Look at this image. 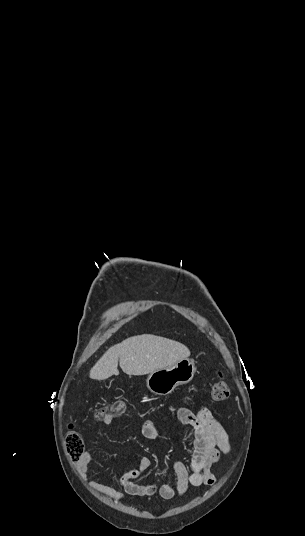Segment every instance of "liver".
I'll use <instances>...</instances> for the list:
<instances>
[{"instance_id": "liver-1", "label": "liver", "mask_w": 305, "mask_h": 536, "mask_svg": "<svg viewBox=\"0 0 305 536\" xmlns=\"http://www.w3.org/2000/svg\"><path fill=\"white\" fill-rule=\"evenodd\" d=\"M190 356V350L167 338L160 336H133L109 348L102 358L91 368V380H107L118 376V362L121 370L128 376H145L167 366H174L179 360Z\"/></svg>"}]
</instances>
